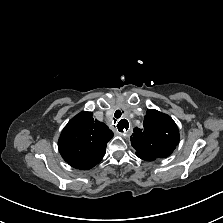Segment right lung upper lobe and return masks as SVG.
Returning <instances> with one entry per match:
<instances>
[{"label":"right lung upper lobe","mask_w":223,"mask_h":223,"mask_svg":"<svg viewBox=\"0 0 223 223\" xmlns=\"http://www.w3.org/2000/svg\"><path fill=\"white\" fill-rule=\"evenodd\" d=\"M113 135L108 126L93 119L92 112L82 111L63 129L58 141L59 152L72 167L87 170L102 160Z\"/></svg>","instance_id":"1"}]
</instances>
